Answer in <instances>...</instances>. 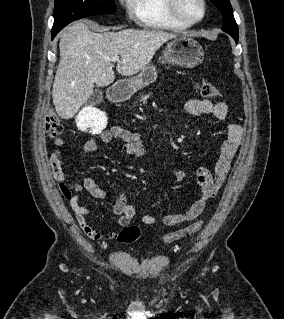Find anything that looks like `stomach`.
<instances>
[{
    "label": "stomach",
    "mask_w": 284,
    "mask_h": 319,
    "mask_svg": "<svg viewBox=\"0 0 284 319\" xmlns=\"http://www.w3.org/2000/svg\"><path fill=\"white\" fill-rule=\"evenodd\" d=\"M204 59L202 46L194 39L186 36H177L167 44L160 57L161 63L176 64L186 68L199 65ZM157 78L156 67L148 65L139 75L126 79L123 83L130 92H135L153 83Z\"/></svg>",
    "instance_id": "1"
}]
</instances>
